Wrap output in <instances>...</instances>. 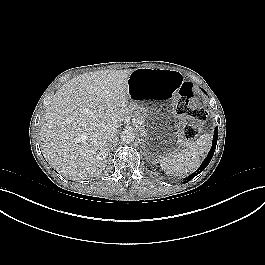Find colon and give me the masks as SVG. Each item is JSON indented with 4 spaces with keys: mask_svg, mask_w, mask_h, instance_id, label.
<instances>
[{
    "mask_svg": "<svg viewBox=\"0 0 265 265\" xmlns=\"http://www.w3.org/2000/svg\"><path fill=\"white\" fill-rule=\"evenodd\" d=\"M176 112L180 116L187 117L183 124V138L186 140L194 139L200 133L207 114L205 110L197 105L196 95L190 83H184L180 89Z\"/></svg>",
    "mask_w": 265,
    "mask_h": 265,
    "instance_id": "obj_1",
    "label": "colon"
}]
</instances>
